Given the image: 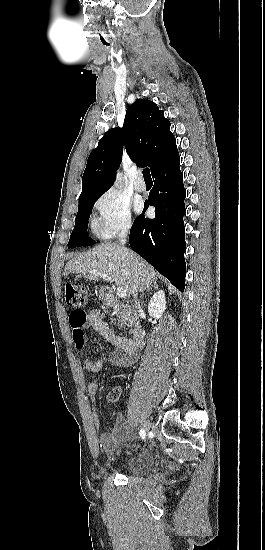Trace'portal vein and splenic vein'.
<instances>
[{
    "mask_svg": "<svg viewBox=\"0 0 265 550\" xmlns=\"http://www.w3.org/2000/svg\"><path fill=\"white\" fill-rule=\"evenodd\" d=\"M91 274L93 275H96V276H99L101 278H103L104 280L108 281V282H114V280L112 279L111 276L107 275V274H102V273H99V272H91ZM117 295L120 297V298H125L127 296V292L122 289V288H117Z\"/></svg>",
    "mask_w": 265,
    "mask_h": 550,
    "instance_id": "obj_1",
    "label": "portal vein and splenic vein"
}]
</instances>
